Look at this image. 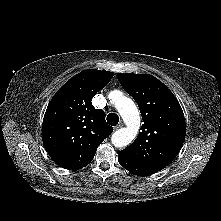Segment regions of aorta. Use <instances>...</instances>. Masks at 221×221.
Segmentation results:
<instances>
[{"label": "aorta", "mask_w": 221, "mask_h": 221, "mask_svg": "<svg viewBox=\"0 0 221 221\" xmlns=\"http://www.w3.org/2000/svg\"><path fill=\"white\" fill-rule=\"evenodd\" d=\"M109 100L121 115L126 128H121L112 134L111 142L117 148L128 146L136 138L140 128V114L135 103L120 91L114 90L109 94Z\"/></svg>", "instance_id": "1"}]
</instances>
